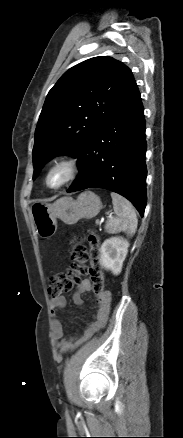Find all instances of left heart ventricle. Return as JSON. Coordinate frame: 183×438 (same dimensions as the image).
I'll list each match as a JSON object with an SVG mask.
<instances>
[{"instance_id": "1", "label": "left heart ventricle", "mask_w": 183, "mask_h": 438, "mask_svg": "<svg viewBox=\"0 0 183 438\" xmlns=\"http://www.w3.org/2000/svg\"><path fill=\"white\" fill-rule=\"evenodd\" d=\"M66 177L65 170L61 168L54 169L48 178V182L51 186L59 185Z\"/></svg>"}]
</instances>
